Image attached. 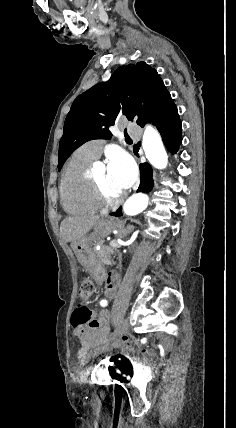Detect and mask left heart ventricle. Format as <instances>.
Segmentation results:
<instances>
[{
	"mask_svg": "<svg viewBox=\"0 0 236 428\" xmlns=\"http://www.w3.org/2000/svg\"><path fill=\"white\" fill-rule=\"evenodd\" d=\"M94 176L101 182L107 194L111 197H118L125 191L120 188L119 184L111 178L108 168L96 172Z\"/></svg>",
	"mask_w": 236,
	"mask_h": 428,
	"instance_id": "left-heart-ventricle-1",
	"label": "left heart ventricle"
}]
</instances>
